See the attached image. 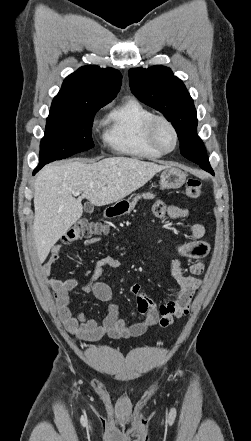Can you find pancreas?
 <instances>
[{"label": "pancreas", "mask_w": 251, "mask_h": 441, "mask_svg": "<svg viewBox=\"0 0 251 441\" xmlns=\"http://www.w3.org/2000/svg\"><path fill=\"white\" fill-rule=\"evenodd\" d=\"M155 197V195L154 194H152V193H150V192H147V193H143V194H141V195H137V196H135L134 198H133V200H132V202H131V208H134V206L136 205V203H137V201L139 200V199H141V198H144V199H153Z\"/></svg>", "instance_id": "cf45deb5"}]
</instances>
